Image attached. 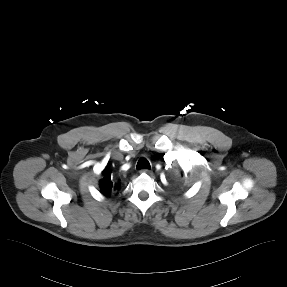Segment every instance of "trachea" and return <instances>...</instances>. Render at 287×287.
<instances>
[{
	"mask_svg": "<svg viewBox=\"0 0 287 287\" xmlns=\"http://www.w3.org/2000/svg\"><path fill=\"white\" fill-rule=\"evenodd\" d=\"M150 163L145 158H141L137 163V169H150Z\"/></svg>",
	"mask_w": 287,
	"mask_h": 287,
	"instance_id": "obj_1",
	"label": "trachea"
}]
</instances>
